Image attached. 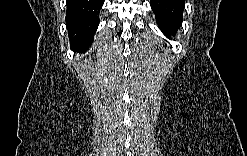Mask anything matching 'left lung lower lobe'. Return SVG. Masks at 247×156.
Returning a JSON list of instances; mask_svg holds the SVG:
<instances>
[{
	"mask_svg": "<svg viewBox=\"0 0 247 156\" xmlns=\"http://www.w3.org/2000/svg\"><path fill=\"white\" fill-rule=\"evenodd\" d=\"M184 0H152L151 8L157 23L166 36L175 35L182 24Z\"/></svg>",
	"mask_w": 247,
	"mask_h": 156,
	"instance_id": "left-lung-lower-lobe-1",
	"label": "left lung lower lobe"
}]
</instances>
